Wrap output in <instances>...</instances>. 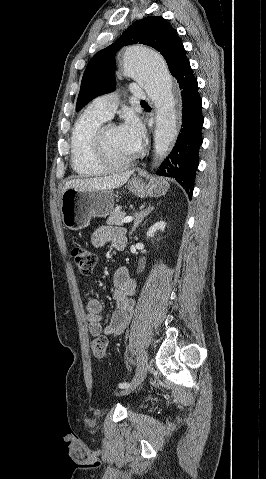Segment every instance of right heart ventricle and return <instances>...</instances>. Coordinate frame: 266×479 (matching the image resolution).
Masks as SVG:
<instances>
[{"label":"right heart ventricle","instance_id":"right-heart-ventricle-1","mask_svg":"<svg viewBox=\"0 0 266 479\" xmlns=\"http://www.w3.org/2000/svg\"><path fill=\"white\" fill-rule=\"evenodd\" d=\"M106 121L102 116L87 109L77 120L71 135V165L80 176L95 177L106 173L93 155L96 130Z\"/></svg>","mask_w":266,"mask_h":479}]
</instances>
